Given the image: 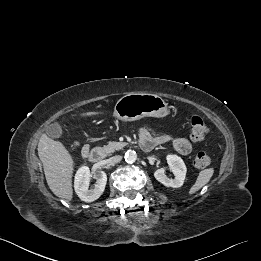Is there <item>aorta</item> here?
<instances>
[{
  "label": "aorta",
  "instance_id": "762f6f07",
  "mask_svg": "<svg viewBox=\"0 0 261 261\" xmlns=\"http://www.w3.org/2000/svg\"><path fill=\"white\" fill-rule=\"evenodd\" d=\"M124 158L127 163H134L137 159V154L134 150H128L126 151Z\"/></svg>",
  "mask_w": 261,
  "mask_h": 261
}]
</instances>
